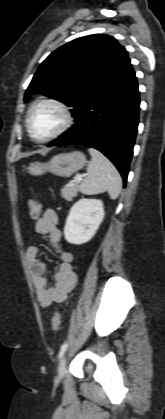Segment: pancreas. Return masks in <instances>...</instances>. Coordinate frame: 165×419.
Returning a JSON list of instances; mask_svg holds the SVG:
<instances>
[{"label": "pancreas", "mask_w": 165, "mask_h": 419, "mask_svg": "<svg viewBox=\"0 0 165 419\" xmlns=\"http://www.w3.org/2000/svg\"><path fill=\"white\" fill-rule=\"evenodd\" d=\"M79 189L78 183L67 184L62 188L61 196L67 201H72L77 196Z\"/></svg>", "instance_id": "pancreas-1"}]
</instances>
